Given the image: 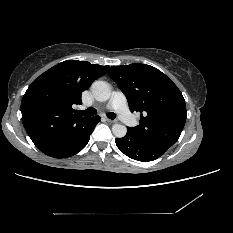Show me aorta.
<instances>
[{"label": "aorta", "instance_id": "obj_1", "mask_svg": "<svg viewBox=\"0 0 233 233\" xmlns=\"http://www.w3.org/2000/svg\"><path fill=\"white\" fill-rule=\"evenodd\" d=\"M91 91L94 98L100 102L107 101L111 96V86L105 81H95L91 85ZM112 132L116 137L122 138L126 135L127 128L121 124H114Z\"/></svg>", "mask_w": 233, "mask_h": 233}]
</instances>
